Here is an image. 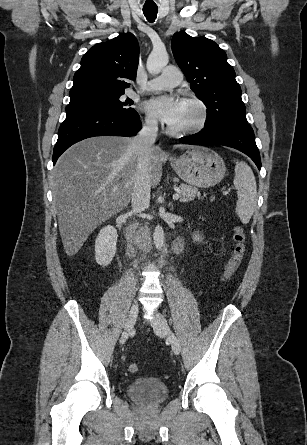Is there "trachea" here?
<instances>
[{"instance_id": "obj_1", "label": "trachea", "mask_w": 307, "mask_h": 445, "mask_svg": "<svg viewBox=\"0 0 307 445\" xmlns=\"http://www.w3.org/2000/svg\"><path fill=\"white\" fill-rule=\"evenodd\" d=\"M158 12L157 6L143 7V13L149 22H154Z\"/></svg>"}]
</instances>
